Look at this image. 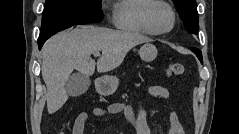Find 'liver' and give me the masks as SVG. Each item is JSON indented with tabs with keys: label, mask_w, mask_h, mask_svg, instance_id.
<instances>
[{
	"label": "liver",
	"mask_w": 239,
	"mask_h": 134,
	"mask_svg": "<svg viewBox=\"0 0 239 134\" xmlns=\"http://www.w3.org/2000/svg\"><path fill=\"white\" fill-rule=\"evenodd\" d=\"M151 39L136 32L103 27L81 26L50 38L42 49V77L47 87L49 114L58 111L68 100L65 84L74 69L91 76L109 72L123 62L127 52ZM102 52L97 63L91 58Z\"/></svg>",
	"instance_id": "1"
}]
</instances>
